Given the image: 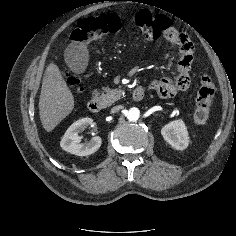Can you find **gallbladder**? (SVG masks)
I'll use <instances>...</instances> for the list:
<instances>
[{
  "instance_id": "obj_1",
  "label": "gallbladder",
  "mask_w": 236,
  "mask_h": 236,
  "mask_svg": "<svg viewBox=\"0 0 236 236\" xmlns=\"http://www.w3.org/2000/svg\"><path fill=\"white\" fill-rule=\"evenodd\" d=\"M64 60L68 68L76 73H83L88 65V51L84 44L73 42L64 51Z\"/></svg>"
}]
</instances>
